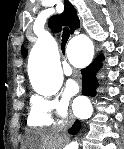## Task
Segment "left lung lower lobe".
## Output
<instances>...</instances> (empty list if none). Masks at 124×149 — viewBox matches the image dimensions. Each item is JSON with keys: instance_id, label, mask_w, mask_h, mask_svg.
<instances>
[{"instance_id": "1", "label": "left lung lower lobe", "mask_w": 124, "mask_h": 149, "mask_svg": "<svg viewBox=\"0 0 124 149\" xmlns=\"http://www.w3.org/2000/svg\"><path fill=\"white\" fill-rule=\"evenodd\" d=\"M102 57L98 56L92 64H90L82 72V94L86 96H94L98 82L95 78L97 71L101 66Z\"/></svg>"}]
</instances>
